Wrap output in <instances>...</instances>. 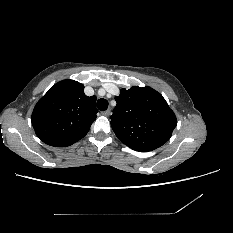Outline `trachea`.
I'll return each mask as SVG.
<instances>
[{
	"mask_svg": "<svg viewBox=\"0 0 233 233\" xmlns=\"http://www.w3.org/2000/svg\"><path fill=\"white\" fill-rule=\"evenodd\" d=\"M108 105H109L108 101L104 98H100L97 101V107L101 111H105L108 108Z\"/></svg>",
	"mask_w": 233,
	"mask_h": 233,
	"instance_id": "1",
	"label": "trachea"
}]
</instances>
